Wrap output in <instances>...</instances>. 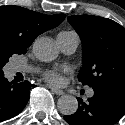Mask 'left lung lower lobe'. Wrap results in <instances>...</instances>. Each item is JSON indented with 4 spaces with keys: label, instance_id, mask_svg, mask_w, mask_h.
<instances>
[{
    "label": "left lung lower lobe",
    "instance_id": "left-lung-lower-lobe-1",
    "mask_svg": "<svg viewBox=\"0 0 125 125\" xmlns=\"http://www.w3.org/2000/svg\"><path fill=\"white\" fill-rule=\"evenodd\" d=\"M94 96L72 115H65L69 125H114L125 115V87L100 86L93 88Z\"/></svg>",
    "mask_w": 125,
    "mask_h": 125
}]
</instances>
